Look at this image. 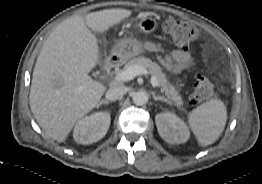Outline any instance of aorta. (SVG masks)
Segmentation results:
<instances>
[{
  "label": "aorta",
  "instance_id": "762f6f07",
  "mask_svg": "<svg viewBox=\"0 0 262 184\" xmlns=\"http://www.w3.org/2000/svg\"><path fill=\"white\" fill-rule=\"evenodd\" d=\"M148 100H149V96L145 91H138L133 95V102L136 105L139 106L144 105L148 102Z\"/></svg>",
  "mask_w": 262,
  "mask_h": 184
}]
</instances>
